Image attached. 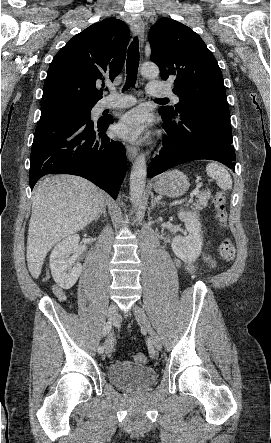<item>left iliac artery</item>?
Segmentation results:
<instances>
[{
	"instance_id": "obj_1",
	"label": "left iliac artery",
	"mask_w": 271,
	"mask_h": 443,
	"mask_svg": "<svg viewBox=\"0 0 271 443\" xmlns=\"http://www.w3.org/2000/svg\"><path fill=\"white\" fill-rule=\"evenodd\" d=\"M146 344H147V347H148V350H149V353H150L151 357L154 358L155 357V350H154V347H153L152 339L148 338L147 341H146Z\"/></svg>"
}]
</instances>
